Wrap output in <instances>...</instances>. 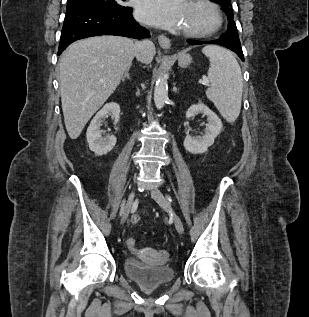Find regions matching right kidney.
Here are the masks:
<instances>
[{
    "mask_svg": "<svg viewBox=\"0 0 309 317\" xmlns=\"http://www.w3.org/2000/svg\"><path fill=\"white\" fill-rule=\"evenodd\" d=\"M109 114L112 115L114 125H117L120 120V106L117 103L111 102L106 104L92 119L86 133L87 142L89 148L96 155H105L110 152L115 144L116 137L114 135H108L102 137L100 126L102 119L107 117Z\"/></svg>",
    "mask_w": 309,
    "mask_h": 317,
    "instance_id": "right-kidney-1",
    "label": "right kidney"
}]
</instances>
